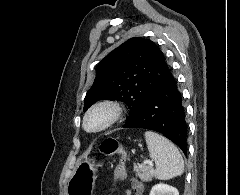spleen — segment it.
I'll list each match as a JSON object with an SVG mask.
<instances>
[{
    "label": "spleen",
    "instance_id": "spleen-1",
    "mask_svg": "<svg viewBox=\"0 0 240 195\" xmlns=\"http://www.w3.org/2000/svg\"><path fill=\"white\" fill-rule=\"evenodd\" d=\"M149 155L156 163L157 179H171L184 171L183 157L176 145L155 131H145Z\"/></svg>",
    "mask_w": 240,
    "mask_h": 195
}]
</instances>
